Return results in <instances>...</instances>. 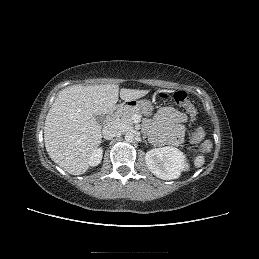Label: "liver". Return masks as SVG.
Wrapping results in <instances>:
<instances>
[{"instance_id": "liver-1", "label": "liver", "mask_w": 259, "mask_h": 259, "mask_svg": "<svg viewBox=\"0 0 259 259\" xmlns=\"http://www.w3.org/2000/svg\"><path fill=\"white\" fill-rule=\"evenodd\" d=\"M148 92L122 88L120 98L129 101ZM118 97L116 84L74 85L61 90L45 120L44 141L50 158L72 175L85 173L102 140V127L95 116L113 110Z\"/></svg>"}]
</instances>
